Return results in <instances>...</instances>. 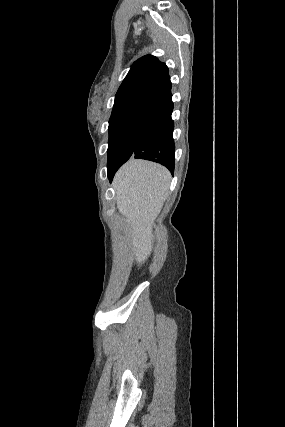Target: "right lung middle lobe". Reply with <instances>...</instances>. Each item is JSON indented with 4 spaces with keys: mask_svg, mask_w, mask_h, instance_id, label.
Returning a JSON list of instances; mask_svg holds the SVG:
<instances>
[{
    "mask_svg": "<svg viewBox=\"0 0 285 427\" xmlns=\"http://www.w3.org/2000/svg\"><path fill=\"white\" fill-rule=\"evenodd\" d=\"M146 113H137L109 122L108 171L119 168L142 143L140 139Z\"/></svg>",
    "mask_w": 285,
    "mask_h": 427,
    "instance_id": "right-lung-middle-lobe-1",
    "label": "right lung middle lobe"
}]
</instances>
